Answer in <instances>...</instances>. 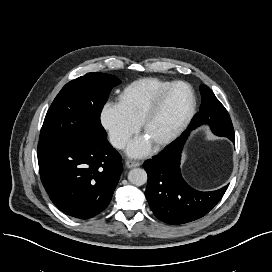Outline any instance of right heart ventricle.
Returning a JSON list of instances; mask_svg holds the SVG:
<instances>
[{
  "label": "right heart ventricle",
  "mask_w": 272,
  "mask_h": 272,
  "mask_svg": "<svg viewBox=\"0 0 272 272\" xmlns=\"http://www.w3.org/2000/svg\"><path fill=\"white\" fill-rule=\"evenodd\" d=\"M171 84V81L154 77L135 80L121 90L118 104L131 121L139 125L147 108Z\"/></svg>",
  "instance_id": "obj_1"
}]
</instances>
